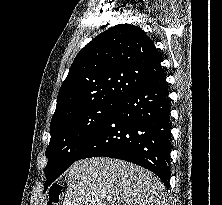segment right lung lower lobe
<instances>
[{
	"mask_svg": "<svg viewBox=\"0 0 222 205\" xmlns=\"http://www.w3.org/2000/svg\"><path fill=\"white\" fill-rule=\"evenodd\" d=\"M170 129V100L162 72L120 101L77 160L96 156L126 160L151 170L169 187Z\"/></svg>",
	"mask_w": 222,
	"mask_h": 205,
	"instance_id": "obj_1",
	"label": "right lung lower lobe"
}]
</instances>
